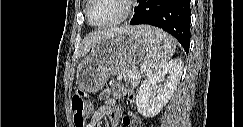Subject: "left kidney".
I'll use <instances>...</instances> for the list:
<instances>
[{"mask_svg": "<svg viewBox=\"0 0 243 127\" xmlns=\"http://www.w3.org/2000/svg\"><path fill=\"white\" fill-rule=\"evenodd\" d=\"M182 70L183 62L176 58L143 81L136 96L137 110L141 115L150 118L162 110L173 95Z\"/></svg>", "mask_w": 243, "mask_h": 127, "instance_id": "left-kidney-1", "label": "left kidney"}]
</instances>
